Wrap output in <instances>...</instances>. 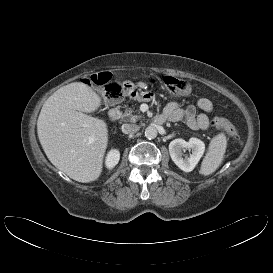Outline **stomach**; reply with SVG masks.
Returning a JSON list of instances; mask_svg holds the SVG:
<instances>
[{"mask_svg":"<svg viewBox=\"0 0 273 273\" xmlns=\"http://www.w3.org/2000/svg\"><path fill=\"white\" fill-rule=\"evenodd\" d=\"M126 95L131 99L138 101H150L153 99V94L151 92H138L134 89L127 91Z\"/></svg>","mask_w":273,"mask_h":273,"instance_id":"0dacf381","label":"stomach"}]
</instances>
